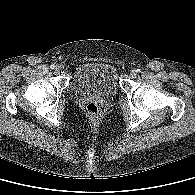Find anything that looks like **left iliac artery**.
Returning <instances> with one entry per match:
<instances>
[{
	"label": "left iliac artery",
	"mask_w": 195,
	"mask_h": 195,
	"mask_svg": "<svg viewBox=\"0 0 195 195\" xmlns=\"http://www.w3.org/2000/svg\"><path fill=\"white\" fill-rule=\"evenodd\" d=\"M136 71V73H139L140 72V69H137V70H135Z\"/></svg>",
	"instance_id": "obj_1"
}]
</instances>
